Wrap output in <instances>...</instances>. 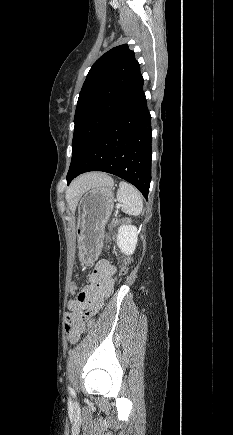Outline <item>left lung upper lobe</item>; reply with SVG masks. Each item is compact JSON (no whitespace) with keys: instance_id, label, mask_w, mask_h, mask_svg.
<instances>
[{"instance_id":"obj_1","label":"left lung upper lobe","mask_w":233,"mask_h":435,"mask_svg":"<svg viewBox=\"0 0 233 435\" xmlns=\"http://www.w3.org/2000/svg\"><path fill=\"white\" fill-rule=\"evenodd\" d=\"M143 83L140 65L127 44L112 48L93 64L77 102L70 167L139 99Z\"/></svg>"}]
</instances>
